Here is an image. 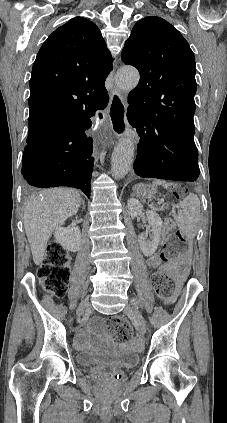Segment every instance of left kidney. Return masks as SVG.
<instances>
[{
	"label": "left kidney",
	"mask_w": 227,
	"mask_h": 423,
	"mask_svg": "<svg viewBox=\"0 0 227 423\" xmlns=\"http://www.w3.org/2000/svg\"><path fill=\"white\" fill-rule=\"evenodd\" d=\"M142 210L143 206L140 202H138V200H135V198H130V200H128V213H130L132 217L139 215ZM146 215L148 223L152 227V233L150 235V239H148L147 235H144V233H139L138 241L144 255L149 257V255H153L159 245L162 219L159 213H156V211L153 210H147Z\"/></svg>",
	"instance_id": "left-kidney-1"
}]
</instances>
